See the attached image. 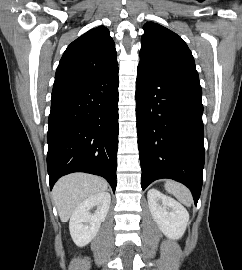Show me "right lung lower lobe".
Masks as SVG:
<instances>
[{"mask_svg": "<svg viewBox=\"0 0 242 270\" xmlns=\"http://www.w3.org/2000/svg\"><path fill=\"white\" fill-rule=\"evenodd\" d=\"M118 71L116 67L52 95L47 134L50 189L63 175L87 172L104 177L115 191Z\"/></svg>", "mask_w": 242, "mask_h": 270, "instance_id": "98d812e1", "label": "right lung lower lobe"}]
</instances>
